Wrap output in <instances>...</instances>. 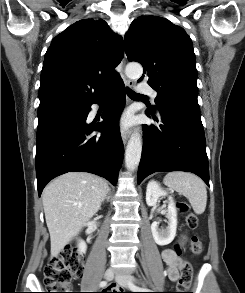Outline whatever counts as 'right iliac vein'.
Instances as JSON below:
<instances>
[{
	"label": "right iliac vein",
	"instance_id": "63e3f726",
	"mask_svg": "<svg viewBox=\"0 0 245 293\" xmlns=\"http://www.w3.org/2000/svg\"><path fill=\"white\" fill-rule=\"evenodd\" d=\"M114 275H115L114 271L111 270V269H108V270L105 272V275H104V276H105V279H106V280L110 281V280L113 279Z\"/></svg>",
	"mask_w": 245,
	"mask_h": 293
}]
</instances>
